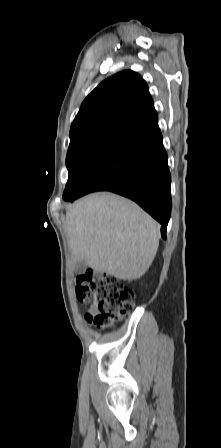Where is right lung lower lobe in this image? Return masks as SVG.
I'll return each mask as SVG.
<instances>
[{
    "label": "right lung lower lobe",
    "mask_w": 221,
    "mask_h": 448,
    "mask_svg": "<svg viewBox=\"0 0 221 448\" xmlns=\"http://www.w3.org/2000/svg\"><path fill=\"white\" fill-rule=\"evenodd\" d=\"M170 184L167 153L156 117L114 145L75 199L95 191H111L130 198L162 224L161 235L165 239L171 214Z\"/></svg>",
    "instance_id": "right-lung-lower-lobe-1"
}]
</instances>
